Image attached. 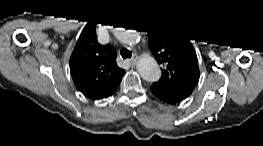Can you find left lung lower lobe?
Segmentation results:
<instances>
[{
    "label": "left lung lower lobe",
    "mask_w": 263,
    "mask_h": 146,
    "mask_svg": "<svg viewBox=\"0 0 263 146\" xmlns=\"http://www.w3.org/2000/svg\"><path fill=\"white\" fill-rule=\"evenodd\" d=\"M151 91L157 98L169 104H175V103L182 101L178 99L177 97H175L174 95H172L161 84L156 83V82L152 84Z\"/></svg>",
    "instance_id": "1"
}]
</instances>
